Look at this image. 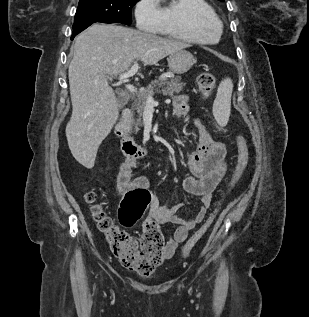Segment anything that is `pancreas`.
<instances>
[{
	"label": "pancreas",
	"mask_w": 309,
	"mask_h": 317,
	"mask_svg": "<svg viewBox=\"0 0 309 317\" xmlns=\"http://www.w3.org/2000/svg\"><path fill=\"white\" fill-rule=\"evenodd\" d=\"M162 85L164 88L160 91V93L163 95L173 96L175 93H180L183 90L185 83L181 82L180 77L171 79L163 78L151 81L145 91L139 95L132 106V110L137 112V116L132 119V126L134 127L135 133H137L139 131V127L142 126L141 117L147 104V97L149 95L152 96L155 93V89L157 87H161Z\"/></svg>",
	"instance_id": "pancreas-1"
}]
</instances>
